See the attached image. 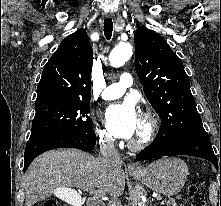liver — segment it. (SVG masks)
I'll use <instances>...</instances> for the list:
<instances>
[{
    "label": "liver",
    "mask_w": 221,
    "mask_h": 206,
    "mask_svg": "<svg viewBox=\"0 0 221 206\" xmlns=\"http://www.w3.org/2000/svg\"><path fill=\"white\" fill-rule=\"evenodd\" d=\"M123 162L75 149L52 150L37 157L24 175L25 206L72 187L99 188L104 194L119 197L125 189Z\"/></svg>",
    "instance_id": "obj_1"
}]
</instances>
